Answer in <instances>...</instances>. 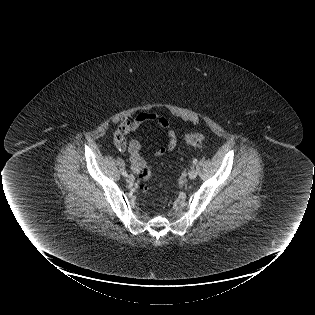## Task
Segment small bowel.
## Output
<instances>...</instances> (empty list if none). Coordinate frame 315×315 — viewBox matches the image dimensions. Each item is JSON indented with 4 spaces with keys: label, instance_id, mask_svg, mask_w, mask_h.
<instances>
[{
    "label": "small bowel",
    "instance_id": "obj_1",
    "mask_svg": "<svg viewBox=\"0 0 315 315\" xmlns=\"http://www.w3.org/2000/svg\"><path fill=\"white\" fill-rule=\"evenodd\" d=\"M152 123L165 131L168 141L165 145L158 148L155 156H161L166 152L172 151L177 145V137L170 126L169 120L154 112H141L133 119L124 121L120 124V131L123 134H129L137 131L143 124ZM131 169L134 173L139 174L146 166L145 159L141 156V142L138 139H132L128 146Z\"/></svg>",
    "mask_w": 315,
    "mask_h": 315
}]
</instances>
